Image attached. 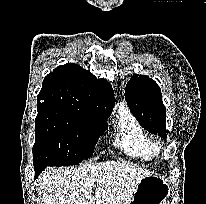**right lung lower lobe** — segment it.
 <instances>
[{"label": "right lung lower lobe", "instance_id": "1", "mask_svg": "<svg viewBox=\"0 0 206 204\" xmlns=\"http://www.w3.org/2000/svg\"><path fill=\"white\" fill-rule=\"evenodd\" d=\"M45 168H46L45 166H34L35 178H37Z\"/></svg>", "mask_w": 206, "mask_h": 204}]
</instances>
